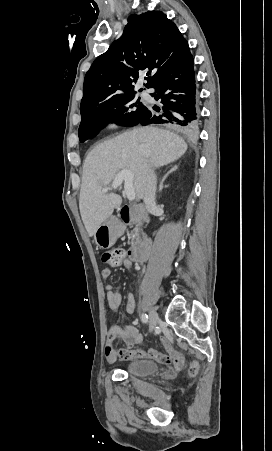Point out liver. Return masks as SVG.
<instances>
[{
    "label": "liver",
    "mask_w": 272,
    "mask_h": 451,
    "mask_svg": "<svg viewBox=\"0 0 272 451\" xmlns=\"http://www.w3.org/2000/svg\"><path fill=\"white\" fill-rule=\"evenodd\" d=\"M187 150L183 138L152 126L133 128L106 140L89 152L83 166L79 210L89 235H94L115 208L122 204L118 194H106V188L120 170L134 174L135 194L143 198L149 166L161 168L179 160Z\"/></svg>",
    "instance_id": "1"
}]
</instances>
